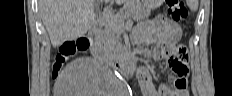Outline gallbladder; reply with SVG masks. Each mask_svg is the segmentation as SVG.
I'll use <instances>...</instances> for the list:
<instances>
[{
  "label": "gallbladder",
  "mask_w": 232,
  "mask_h": 96,
  "mask_svg": "<svg viewBox=\"0 0 232 96\" xmlns=\"http://www.w3.org/2000/svg\"><path fill=\"white\" fill-rule=\"evenodd\" d=\"M94 12H95V15H96V16L99 15V7H98V6H95V7H94Z\"/></svg>",
  "instance_id": "obj_1"
}]
</instances>
